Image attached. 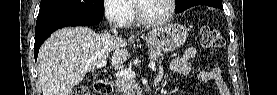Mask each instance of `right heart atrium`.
Returning a JSON list of instances; mask_svg holds the SVG:
<instances>
[{
	"mask_svg": "<svg viewBox=\"0 0 277 95\" xmlns=\"http://www.w3.org/2000/svg\"><path fill=\"white\" fill-rule=\"evenodd\" d=\"M102 7L106 18L114 25H124L131 16L126 0H103Z\"/></svg>",
	"mask_w": 277,
	"mask_h": 95,
	"instance_id": "right-heart-atrium-1",
	"label": "right heart atrium"
}]
</instances>
